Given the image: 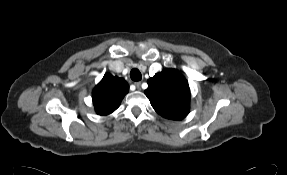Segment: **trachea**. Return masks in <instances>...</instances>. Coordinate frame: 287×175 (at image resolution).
Returning a JSON list of instances; mask_svg holds the SVG:
<instances>
[{"mask_svg":"<svg viewBox=\"0 0 287 175\" xmlns=\"http://www.w3.org/2000/svg\"><path fill=\"white\" fill-rule=\"evenodd\" d=\"M130 77L133 81H140L142 76L138 69H132L130 72Z\"/></svg>","mask_w":287,"mask_h":175,"instance_id":"1","label":"trachea"}]
</instances>
